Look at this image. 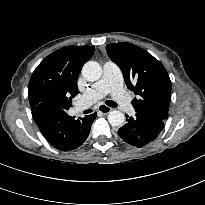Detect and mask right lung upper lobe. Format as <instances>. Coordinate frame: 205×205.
Here are the masks:
<instances>
[{
	"label": "right lung upper lobe",
	"instance_id": "cb5924a9",
	"mask_svg": "<svg viewBox=\"0 0 205 205\" xmlns=\"http://www.w3.org/2000/svg\"><path fill=\"white\" fill-rule=\"evenodd\" d=\"M93 53L94 46H66L48 55L34 70L29 82L31 109L42 102L55 101L53 97L59 93L75 97L79 93V73Z\"/></svg>",
	"mask_w": 205,
	"mask_h": 205
}]
</instances>
